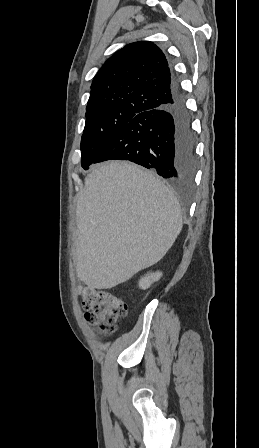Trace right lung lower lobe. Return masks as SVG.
<instances>
[{
	"label": "right lung lower lobe",
	"instance_id": "1",
	"mask_svg": "<svg viewBox=\"0 0 259 448\" xmlns=\"http://www.w3.org/2000/svg\"><path fill=\"white\" fill-rule=\"evenodd\" d=\"M172 74V100L128 122L93 163L129 160L155 170L170 183L187 186L196 166L195 136L179 80Z\"/></svg>",
	"mask_w": 259,
	"mask_h": 448
}]
</instances>
